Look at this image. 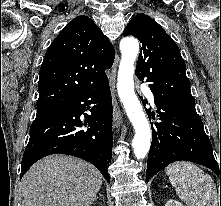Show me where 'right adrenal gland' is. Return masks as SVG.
Masks as SVG:
<instances>
[{"mask_svg": "<svg viewBox=\"0 0 221 206\" xmlns=\"http://www.w3.org/2000/svg\"><path fill=\"white\" fill-rule=\"evenodd\" d=\"M100 196H101V194H99L96 198H95V200H97V199H99L100 198Z\"/></svg>", "mask_w": 221, "mask_h": 206, "instance_id": "right-adrenal-gland-1", "label": "right adrenal gland"}]
</instances>
